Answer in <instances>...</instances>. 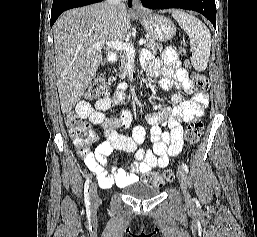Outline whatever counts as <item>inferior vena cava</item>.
Returning a JSON list of instances; mask_svg holds the SVG:
<instances>
[{
    "label": "inferior vena cava",
    "instance_id": "602c4592",
    "mask_svg": "<svg viewBox=\"0 0 257 237\" xmlns=\"http://www.w3.org/2000/svg\"><path fill=\"white\" fill-rule=\"evenodd\" d=\"M125 2L126 0H107V5L116 20H118L120 12L126 9Z\"/></svg>",
    "mask_w": 257,
    "mask_h": 237
}]
</instances>
